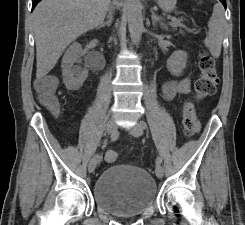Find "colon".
<instances>
[{"label":"colon","instance_id":"colon-1","mask_svg":"<svg viewBox=\"0 0 245 225\" xmlns=\"http://www.w3.org/2000/svg\"><path fill=\"white\" fill-rule=\"evenodd\" d=\"M198 68L200 75L194 85V97L203 99L213 95L219 81L215 61L213 57L202 50L198 57ZM39 99L47 107L54 111H59L60 104L55 96V83L49 82L38 88ZM183 128L186 137H191L199 132L200 122L195 114V108L192 100H187L183 104ZM114 155L108 153L106 161H111Z\"/></svg>","mask_w":245,"mask_h":225}]
</instances>
